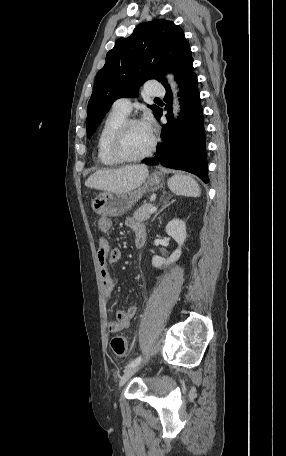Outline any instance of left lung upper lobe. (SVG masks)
<instances>
[{
	"mask_svg": "<svg viewBox=\"0 0 286 456\" xmlns=\"http://www.w3.org/2000/svg\"><path fill=\"white\" fill-rule=\"evenodd\" d=\"M191 60L184 32L172 21L142 23L129 37L118 39L95 78L88 102L87 137L93 135L116 99L136 96L138 88L149 79L166 86V72L176 75ZM149 107L157 115L159 107Z\"/></svg>",
	"mask_w": 286,
	"mask_h": 456,
	"instance_id": "1",
	"label": "left lung upper lobe"
}]
</instances>
